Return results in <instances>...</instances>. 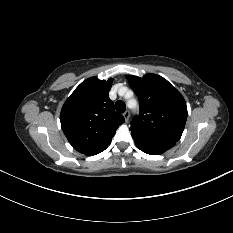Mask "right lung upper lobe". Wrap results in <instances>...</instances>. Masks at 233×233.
Masks as SVG:
<instances>
[{"mask_svg": "<svg viewBox=\"0 0 233 233\" xmlns=\"http://www.w3.org/2000/svg\"><path fill=\"white\" fill-rule=\"evenodd\" d=\"M108 81L91 77L82 82L64 103L60 121L70 144L80 153H88L111 142L124 117L114 111L108 93Z\"/></svg>", "mask_w": 233, "mask_h": 233, "instance_id": "obj_1", "label": "right lung upper lobe"}]
</instances>
